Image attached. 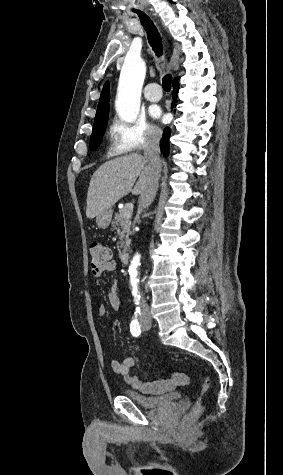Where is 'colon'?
<instances>
[{"label":"colon","instance_id":"5ec220e1","mask_svg":"<svg viewBox=\"0 0 283 475\" xmlns=\"http://www.w3.org/2000/svg\"><path fill=\"white\" fill-rule=\"evenodd\" d=\"M90 256L92 259L91 268L92 269H100L101 267L109 266V268H113V263L110 262L111 260V251L102 245L99 242H94L90 246ZM203 389H207L209 382L204 381L202 383ZM202 409V402L200 399L196 400L195 407L192 411L191 416H196L199 414L200 410Z\"/></svg>","mask_w":283,"mask_h":475}]
</instances>
